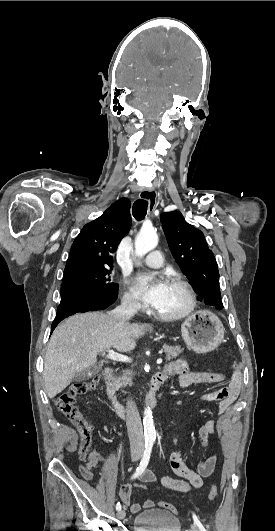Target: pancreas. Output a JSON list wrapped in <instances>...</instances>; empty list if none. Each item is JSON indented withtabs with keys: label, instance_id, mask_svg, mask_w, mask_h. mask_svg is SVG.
I'll use <instances>...</instances> for the list:
<instances>
[{
	"label": "pancreas",
	"instance_id": "pancreas-1",
	"mask_svg": "<svg viewBox=\"0 0 275 531\" xmlns=\"http://www.w3.org/2000/svg\"><path fill=\"white\" fill-rule=\"evenodd\" d=\"M163 351L166 353V361L177 359L180 353H183V349H181V347H171V345H163ZM131 375V371H123L122 377H116V379H113L112 383H114L116 387H127V385H133V377H131Z\"/></svg>",
	"mask_w": 275,
	"mask_h": 531
}]
</instances>
